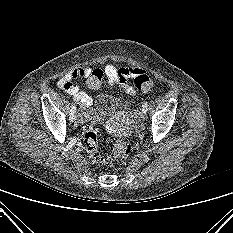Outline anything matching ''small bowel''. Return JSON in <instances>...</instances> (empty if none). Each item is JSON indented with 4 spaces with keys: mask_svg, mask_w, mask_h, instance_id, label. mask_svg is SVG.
Segmentation results:
<instances>
[{
    "mask_svg": "<svg viewBox=\"0 0 233 233\" xmlns=\"http://www.w3.org/2000/svg\"><path fill=\"white\" fill-rule=\"evenodd\" d=\"M93 69L89 67H77L68 72L60 81L59 86L67 93L72 95L74 99L84 107H89L92 104V98L74 83L78 78H88ZM108 78V84L111 86L120 85L126 92L133 94L134 89L128 85L127 81L134 78L144 71L140 68L121 67L117 68L111 64L107 65L102 70Z\"/></svg>",
    "mask_w": 233,
    "mask_h": 233,
    "instance_id": "obj_1",
    "label": "small bowel"
}]
</instances>
